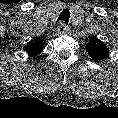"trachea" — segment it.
<instances>
[{
  "label": "trachea",
  "instance_id": "trachea-1",
  "mask_svg": "<svg viewBox=\"0 0 118 118\" xmlns=\"http://www.w3.org/2000/svg\"><path fill=\"white\" fill-rule=\"evenodd\" d=\"M69 18H70V11L69 9L65 8L62 10L57 20H58V23L61 22L62 24L67 25Z\"/></svg>",
  "mask_w": 118,
  "mask_h": 118
}]
</instances>
